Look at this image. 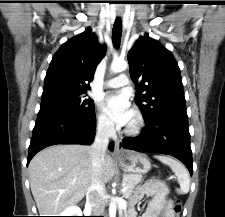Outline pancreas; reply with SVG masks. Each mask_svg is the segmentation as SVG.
<instances>
[{
  "label": "pancreas",
  "instance_id": "cf45deb5",
  "mask_svg": "<svg viewBox=\"0 0 225 217\" xmlns=\"http://www.w3.org/2000/svg\"><path fill=\"white\" fill-rule=\"evenodd\" d=\"M142 180H143V177L142 175H139V174L124 175L122 182H123V185L127 187V190L123 193V196L125 198L130 197L136 185L141 183ZM161 194L162 196L166 197L169 194V190L167 188H164Z\"/></svg>",
  "mask_w": 225,
  "mask_h": 217
}]
</instances>
